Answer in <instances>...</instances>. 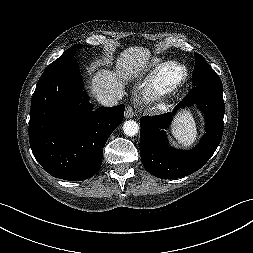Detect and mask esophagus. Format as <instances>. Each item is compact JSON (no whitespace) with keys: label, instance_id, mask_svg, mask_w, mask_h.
Instances as JSON below:
<instances>
[{"label":"esophagus","instance_id":"34e87169","mask_svg":"<svg viewBox=\"0 0 253 253\" xmlns=\"http://www.w3.org/2000/svg\"><path fill=\"white\" fill-rule=\"evenodd\" d=\"M125 118H132L134 116V111L131 106H127L124 113Z\"/></svg>","mask_w":253,"mask_h":253}]
</instances>
